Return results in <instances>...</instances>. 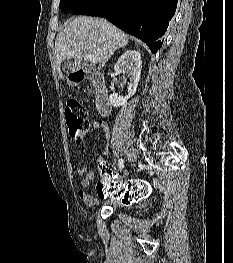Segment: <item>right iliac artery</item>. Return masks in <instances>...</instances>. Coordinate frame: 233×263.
Instances as JSON below:
<instances>
[{
  "label": "right iliac artery",
  "mask_w": 233,
  "mask_h": 263,
  "mask_svg": "<svg viewBox=\"0 0 233 263\" xmlns=\"http://www.w3.org/2000/svg\"><path fill=\"white\" fill-rule=\"evenodd\" d=\"M119 170L121 171L124 167V160L121 158L118 160Z\"/></svg>",
  "instance_id": "right-iliac-artery-1"
}]
</instances>
